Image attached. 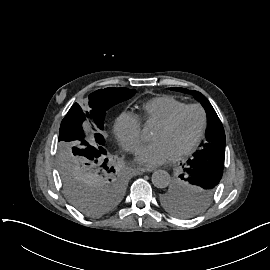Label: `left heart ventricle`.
<instances>
[{
  "label": "left heart ventricle",
  "instance_id": "1",
  "mask_svg": "<svg viewBox=\"0 0 270 270\" xmlns=\"http://www.w3.org/2000/svg\"><path fill=\"white\" fill-rule=\"evenodd\" d=\"M200 125V114L196 110L185 112L172 128L158 126L152 141H166L178 153L188 146L196 137Z\"/></svg>",
  "mask_w": 270,
  "mask_h": 270
}]
</instances>
